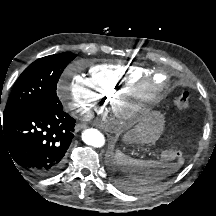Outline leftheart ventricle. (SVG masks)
<instances>
[{"instance_id":"obj_1","label":"left heart ventricle","mask_w":216,"mask_h":216,"mask_svg":"<svg viewBox=\"0 0 216 216\" xmlns=\"http://www.w3.org/2000/svg\"><path fill=\"white\" fill-rule=\"evenodd\" d=\"M158 79H159V81H162V80H163V77H159Z\"/></svg>"}]
</instances>
